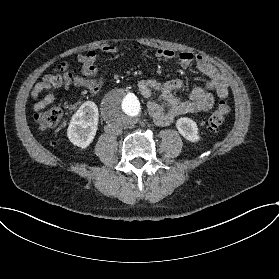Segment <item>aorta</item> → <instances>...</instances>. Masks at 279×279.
<instances>
[{
    "label": "aorta",
    "mask_w": 279,
    "mask_h": 279,
    "mask_svg": "<svg viewBox=\"0 0 279 279\" xmlns=\"http://www.w3.org/2000/svg\"><path fill=\"white\" fill-rule=\"evenodd\" d=\"M142 112L140 99L128 88L110 91L102 101V114L108 126L128 129L136 125Z\"/></svg>",
    "instance_id": "aorta-1"
}]
</instances>
